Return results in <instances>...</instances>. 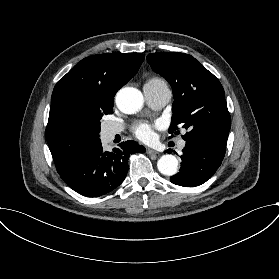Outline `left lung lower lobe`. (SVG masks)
I'll return each instance as SVG.
<instances>
[{
	"mask_svg": "<svg viewBox=\"0 0 279 279\" xmlns=\"http://www.w3.org/2000/svg\"><path fill=\"white\" fill-rule=\"evenodd\" d=\"M180 171L170 178L179 186L195 187L206 182L219 168L226 145L210 140L186 141Z\"/></svg>",
	"mask_w": 279,
	"mask_h": 279,
	"instance_id": "0a47b994",
	"label": "left lung lower lobe"
}]
</instances>
